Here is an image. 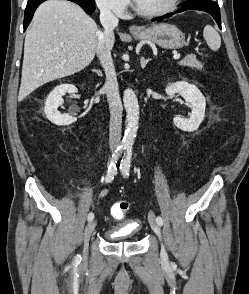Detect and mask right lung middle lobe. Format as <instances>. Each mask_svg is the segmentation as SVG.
<instances>
[{
	"mask_svg": "<svg viewBox=\"0 0 249 294\" xmlns=\"http://www.w3.org/2000/svg\"><path fill=\"white\" fill-rule=\"evenodd\" d=\"M87 2H90V3H95L94 0H85Z\"/></svg>",
	"mask_w": 249,
	"mask_h": 294,
	"instance_id": "right-lung-middle-lobe-1",
	"label": "right lung middle lobe"
}]
</instances>
